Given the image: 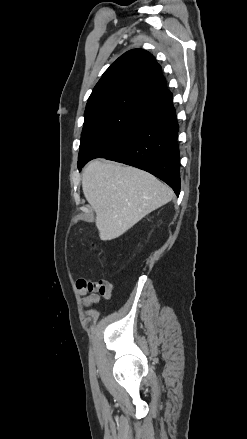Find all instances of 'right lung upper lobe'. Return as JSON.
Returning a JSON list of instances; mask_svg holds the SVG:
<instances>
[{
    "label": "right lung upper lobe",
    "mask_w": 247,
    "mask_h": 439,
    "mask_svg": "<svg viewBox=\"0 0 247 439\" xmlns=\"http://www.w3.org/2000/svg\"><path fill=\"white\" fill-rule=\"evenodd\" d=\"M115 101L153 113L172 102L161 67L146 50L132 49L111 64L94 87L86 110Z\"/></svg>",
    "instance_id": "cb5924a9"
}]
</instances>
